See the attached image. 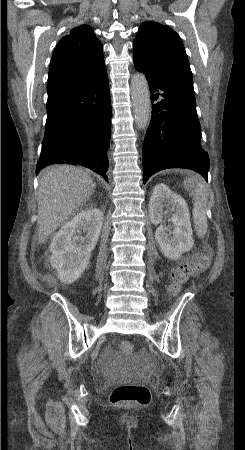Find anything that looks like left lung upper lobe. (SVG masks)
Listing matches in <instances>:
<instances>
[{"label": "left lung upper lobe", "instance_id": "left-lung-upper-lobe-1", "mask_svg": "<svg viewBox=\"0 0 245 450\" xmlns=\"http://www.w3.org/2000/svg\"><path fill=\"white\" fill-rule=\"evenodd\" d=\"M133 46L134 66L138 71L162 78L196 105L188 57L182 40L174 30L157 22H143Z\"/></svg>", "mask_w": 245, "mask_h": 450}]
</instances>
